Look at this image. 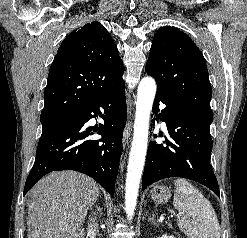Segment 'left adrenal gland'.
<instances>
[{"label":"left adrenal gland","instance_id":"a2214340","mask_svg":"<svg viewBox=\"0 0 247 238\" xmlns=\"http://www.w3.org/2000/svg\"><path fill=\"white\" fill-rule=\"evenodd\" d=\"M154 218H155V214L153 213L152 216L148 219V221L151 222L153 225L158 226Z\"/></svg>","mask_w":247,"mask_h":238}]
</instances>
